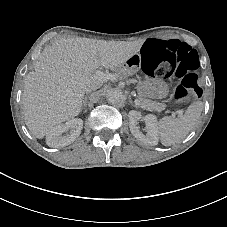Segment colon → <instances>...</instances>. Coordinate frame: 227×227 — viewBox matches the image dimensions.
Instances as JSON below:
<instances>
[{
  "label": "colon",
  "mask_w": 227,
  "mask_h": 227,
  "mask_svg": "<svg viewBox=\"0 0 227 227\" xmlns=\"http://www.w3.org/2000/svg\"><path fill=\"white\" fill-rule=\"evenodd\" d=\"M145 73L161 78L175 77L179 84L174 101L184 106L202 95L198 85L199 60L195 50L177 40L148 39L141 50Z\"/></svg>",
  "instance_id": "obj_1"
}]
</instances>
